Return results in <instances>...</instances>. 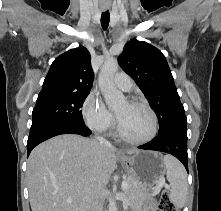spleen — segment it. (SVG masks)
Listing matches in <instances>:
<instances>
[{
  "instance_id": "spleen-1",
  "label": "spleen",
  "mask_w": 221,
  "mask_h": 211,
  "mask_svg": "<svg viewBox=\"0 0 221 211\" xmlns=\"http://www.w3.org/2000/svg\"><path fill=\"white\" fill-rule=\"evenodd\" d=\"M163 162L167 180L170 182V200L177 208H182L188 191L186 170L177 159L170 155H165Z\"/></svg>"
}]
</instances>
